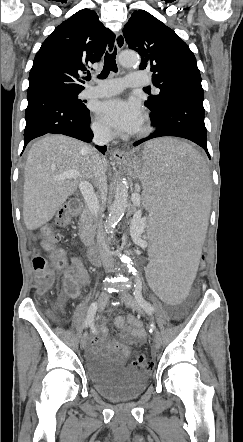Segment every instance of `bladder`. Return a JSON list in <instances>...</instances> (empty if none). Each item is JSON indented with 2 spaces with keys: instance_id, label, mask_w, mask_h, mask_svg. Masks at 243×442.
Listing matches in <instances>:
<instances>
[{
  "instance_id": "1",
  "label": "bladder",
  "mask_w": 243,
  "mask_h": 442,
  "mask_svg": "<svg viewBox=\"0 0 243 442\" xmlns=\"http://www.w3.org/2000/svg\"><path fill=\"white\" fill-rule=\"evenodd\" d=\"M86 372L94 389L104 398L123 402L138 398L146 389L149 375L106 353L90 355Z\"/></svg>"
}]
</instances>
